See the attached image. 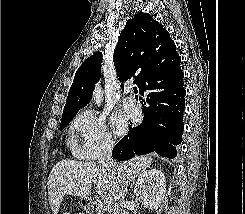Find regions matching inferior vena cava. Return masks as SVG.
<instances>
[{
	"instance_id": "602c4592",
	"label": "inferior vena cava",
	"mask_w": 245,
	"mask_h": 214,
	"mask_svg": "<svg viewBox=\"0 0 245 214\" xmlns=\"http://www.w3.org/2000/svg\"><path fill=\"white\" fill-rule=\"evenodd\" d=\"M113 147L114 144L111 141L104 140L101 143V153H100L99 162L108 169L117 170L119 168V165L113 160L111 155ZM127 187H128V183L125 182L119 189L118 198L120 199V205L122 206L125 205L124 198L127 194Z\"/></svg>"
}]
</instances>
